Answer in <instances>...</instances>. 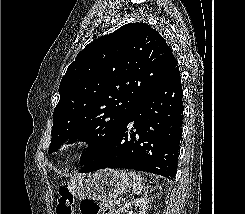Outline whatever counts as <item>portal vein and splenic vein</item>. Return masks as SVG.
<instances>
[{
    "label": "portal vein and splenic vein",
    "mask_w": 245,
    "mask_h": 214,
    "mask_svg": "<svg viewBox=\"0 0 245 214\" xmlns=\"http://www.w3.org/2000/svg\"><path fill=\"white\" fill-rule=\"evenodd\" d=\"M120 203H121V200L120 199H118V200L115 201V204L116 205H120Z\"/></svg>",
    "instance_id": "18ae733b"
}]
</instances>
